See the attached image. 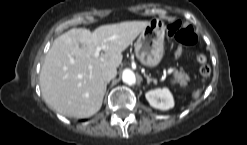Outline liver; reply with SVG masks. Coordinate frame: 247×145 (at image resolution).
I'll return each mask as SVG.
<instances>
[{"label": "liver", "instance_id": "obj_1", "mask_svg": "<svg viewBox=\"0 0 247 145\" xmlns=\"http://www.w3.org/2000/svg\"><path fill=\"white\" fill-rule=\"evenodd\" d=\"M148 24L149 21H125L100 26L93 32L73 28L57 37L39 77L45 102L66 116L87 118L96 114L105 94L102 70L119 67L122 52ZM98 46H104V54L94 57Z\"/></svg>", "mask_w": 247, "mask_h": 145}]
</instances>
